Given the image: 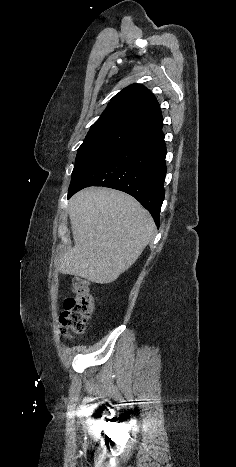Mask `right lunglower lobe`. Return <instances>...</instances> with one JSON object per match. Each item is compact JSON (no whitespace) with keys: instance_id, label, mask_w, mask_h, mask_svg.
I'll list each match as a JSON object with an SVG mask.
<instances>
[{"instance_id":"98d812e1","label":"right lung lower lobe","mask_w":236,"mask_h":467,"mask_svg":"<svg viewBox=\"0 0 236 467\" xmlns=\"http://www.w3.org/2000/svg\"><path fill=\"white\" fill-rule=\"evenodd\" d=\"M163 124L140 133L96 163L75 184L68 198L87 186H104L135 197L159 225L165 190L166 145Z\"/></svg>"}]
</instances>
